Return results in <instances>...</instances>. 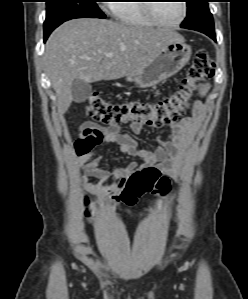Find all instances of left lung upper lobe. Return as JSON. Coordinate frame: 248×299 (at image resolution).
<instances>
[{
    "instance_id": "5c2ea615",
    "label": "left lung upper lobe",
    "mask_w": 248,
    "mask_h": 299,
    "mask_svg": "<svg viewBox=\"0 0 248 299\" xmlns=\"http://www.w3.org/2000/svg\"><path fill=\"white\" fill-rule=\"evenodd\" d=\"M209 0H186L187 17L181 27L201 32L203 29L214 31L213 17L208 7Z\"/></svg>"
}]
</instances>
